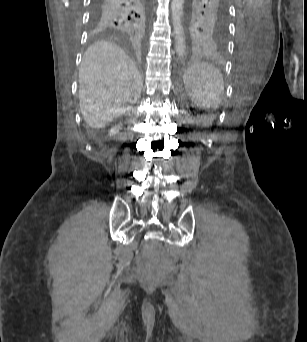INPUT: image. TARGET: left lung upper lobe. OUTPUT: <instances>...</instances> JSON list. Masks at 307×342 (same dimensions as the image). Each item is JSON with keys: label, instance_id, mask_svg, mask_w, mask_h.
<instances>
[{"label": "left lung upper lobe", "instance_id": "5c2ea615", "mask_svg": "<svg viewBox=\"0 0 307 342\" xmlns=\"http://www.w3.org/2000/svg\"><path fill=\"white\" fill-rule=\"evenodd\" d=\"M187 23L196 49L214 53L224 51L228 35L226 0H188Z\"/></svg>", "mask_w": 307, "mask_h": 342}]
</instances>
